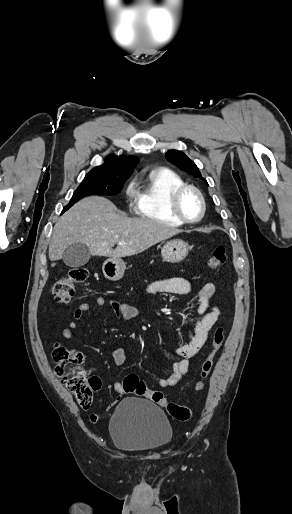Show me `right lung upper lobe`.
<instances>
[{"label":"right lung upper lobe","instance_id":"1","mask_svg":"<svg viewBox=\"0 0 292 514\" xmlns=\"http://www.w3.org/2000/svg\"><path fill=\"white\" fill-rule=\"evenodd\" d=\"M105 163L93 168L86 176L106 179H127L136 167L139 159L136 157L110 155Z\"/></svg>","mask_w":292,"mask_h":514}]
</instances>
